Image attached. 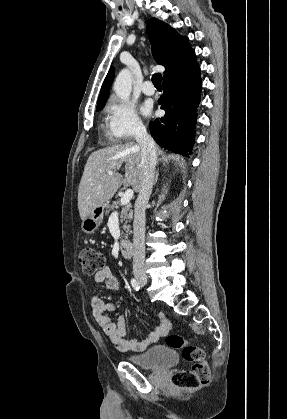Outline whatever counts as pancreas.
<instances>
[{
  "label": "pancreas",
  "mask_w": 287,
  "mask_h": 419,
  "mask_svg": "<svg viewBox=\"0 0 287 419\" xmlns=\"http://www.w3.org/2000/svg\"><path fill=\"white\" fill-rule=\"evenodd\" d=\"M119 206H121L120 201H114L112 204L107 206V211L109 212L114 209H118ZM132 205L131 203L122 205L121 211H120V222L124 223L123 229L128 233L130 229V225H128L129 222H131L133 218V210L131 209ZM123 237L126 238L124 235Z\"/></svg>",
  "instance_id": "cf45deb5"
}]
</instances>
